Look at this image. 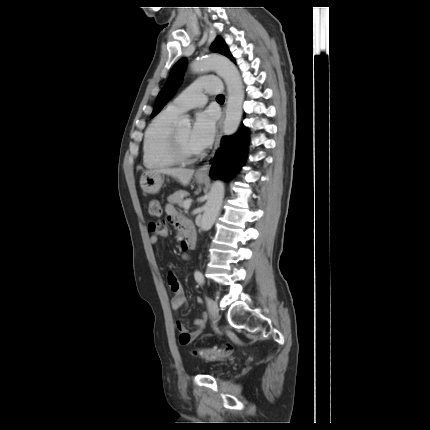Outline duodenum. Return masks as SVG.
<instances>
[{
    "label": "duodenum",
    "instance_id": "410a0bca",
    "mask_svg": "<svg viewBox=\"0 0 430 430\" xmlns=\"http://www.w3.org/2000/svg\"><path fill=\"white\" fill-rule=\"evenodd\" d=\"M183 247L185 250L192 249L194 247V236L193 233H188L185 235V239L183 241Z\"/></svg>",
    "mask_w": 430,
    "mask_h": 430
}]
</instances>
